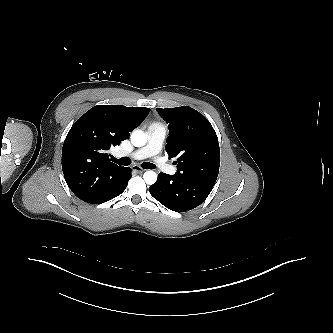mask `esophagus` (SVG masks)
Listing matches in <instances>:
<instances>
[{"mask_svg": "<svg viewBox=\"0 0 333 333\" xmlns=\"http://www.w3.org/2000/svg\"><path fill=\"white\" fill-rule=\"evenodd\" d=\"M131 168H132V170L137 171V172H139V173H142V172L145 171V169L141 168V167L138 166V165H133Z\"/></svg>", "mask_w": 333, "mask_h": 333, "instance_id": "1", "label": "esophagus"}]
</instances>
